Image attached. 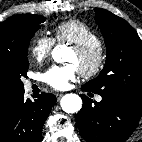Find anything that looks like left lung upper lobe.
<instances>
[{
	"instance_id": "left-lung-upper-lobe-1",
	"label": "left lung upper lobe",
	"mask_w": 142,
	"mask_h": 142,
	"mask_svg": "<svg viewBox=\"0 0 142 142\" xmlns=\"http://www.w3.org/2000/svg\"><path fill=\"white\" fill-rule=\"evenodd\" d=\"M94 10L107 57L100 75L82 87L101 96L142 104V40L126 20L102 8Z\"/></svg>"
}]
</instances>
